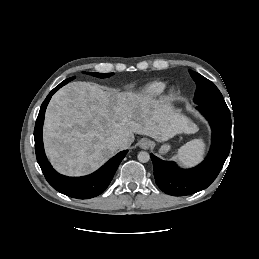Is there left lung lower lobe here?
<instances>
[{
    "mask_svg": "<svg viewBox=\"0 0 259 259\" xmlns=\"http://www.w3.org/2000/svg\"><path fill=\"white\" fill-rule=\"evenodd\" d=\"M197 109L212 129L211 148L201 164L181 169L173 161H163L151 154L156 184L172 196L190 195L207 188L216 179L230 152L232 123L226 103H200Z\"/></svg>",
    "mask_w": 259,
    "mask_h": 259,
    "instance_id": "1",
    "label": "left lung lower lobe"
}]
</instances>
